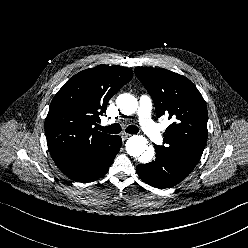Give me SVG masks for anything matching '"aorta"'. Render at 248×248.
I'll return each instance as SVG.
<instances>
[{
    "instance_id": "obj_1",
    "label": "aorta",
    "mask_w": 248,
    "mask_h": 248,
    "mask_svg": "<svg viewBox=\"0 0 248 248\" xmlns=\"http://www.w3.org/2000/svg\"><path fill=\"white\" fill-rule=\"evenodd\" d=\"M116 104L125 115L134 114L138 108L137 99L127 93L118 95ZM126 151L132 157H138L139 162L148 163L154 156V149L148 148V141L141 135H133L126 142Z\"/></svg>"
}]
</instances>
